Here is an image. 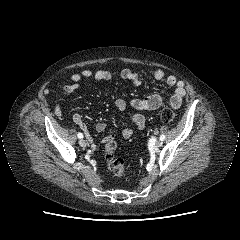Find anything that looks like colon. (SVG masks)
<instances>
[{
    "label": "colon",
    "mask_w": 240,
    "mask_h": 240,
    "mask_svg": "<svg viewBox=\"0 0 240 240\" xmlns=\"http://www.w3.org/2000/svg\"><path fill=\"white\" fill-rule=\"evenodd\" d=\"M176 117V112L172 108H164L161 112V119L164 123H171ZM117 142L113 136H108L104 141V157L108 170L115 176L123 177L126 172L125 161L116 156Z\"/></svg>",
    "instance_id": "colon-1"
}]
</instances>
